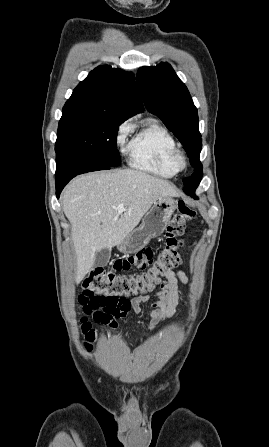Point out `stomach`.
Listing matches in <instances>:
<instances>
[{
  "label": "stomach",
  "mask_w": 269,
  "mask_h": 447,
  "mask_svg": "<svg viewBox=\"0 0 269 447\" xmlns=\"http://www.w3.org/2000/svg\"><path fill=\"white\" fill-rule=\"evenodd\" d=\"M177 208V200L173 198H159L153 208L145 214L142 224L132 229L127 237L118 245L122 253H135L149 243L151 237H157L163 233L172 214Z\"/></svg>",
  "instance_id": "0dacf381"
}]
</instances>
